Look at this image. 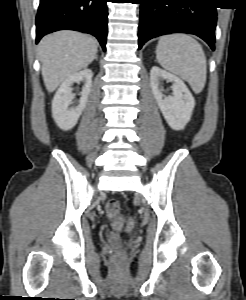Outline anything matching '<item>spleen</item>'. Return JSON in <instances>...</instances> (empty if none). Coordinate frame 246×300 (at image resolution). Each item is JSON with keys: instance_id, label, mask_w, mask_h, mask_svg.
Listing matches in <instances>:
<instances>
[{"instance_id": "obj_1", "label": "spleen", "mask_w": 246, "mask_h": 300, "mask_svg": "<svg viewBox=\"0 0 246 300\" xmlns=\"http://www.w3.org/2000/svg\"><path fill=\"white\" fill-rule=\"evenodd\" d=\"M158 63L189 83L200 93L206 83L207 65L202 46L190 35L175 33L160 38L156 48Z\"/></svg>"}]
</instances>
